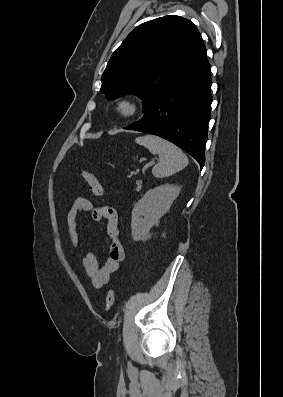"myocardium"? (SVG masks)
I'll use <instances>...</instances> for the list:
<instances>
[{
    "label": "myocardium",
    "instance_id": "f54148a6",
    "mask_svg": "<svg viewBox=\"0 0 283 397\" xmlns=\"http://www.w3.org/2000/svg\"><path fill=\"white\" fill-rule=\"evenodd\" d=\"M115 110L120 117L130 119L139 113L140 105L133 98L123 97L117 101Z\"/></svg>",
    "mask_w": 283,
    "mask_h": 397
}]
</instances>
